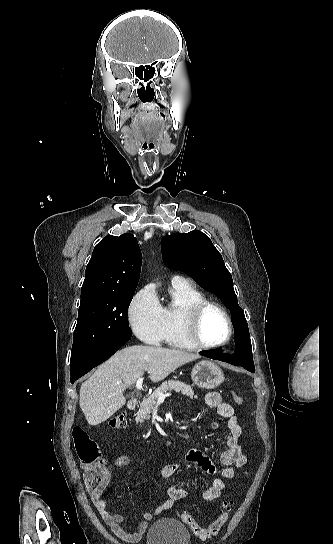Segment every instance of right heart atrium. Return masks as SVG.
<instances>
[{
	"mask_svg": "<svg viewBox=\"0 0 333 544\" xmlns=\"http://www.w3.org/2000/svg\"><path fill=\"white\" fill-rule=\"evenodd\" d=\"M129 324L143 342L159 345L164 341L165 317L155 291L145 286L133 297L128 309Z\"/></svg>",
	"mask_w": 333,
	"mask_h": 544,
	"instance_id": "obj_1",
	"label": "right heart atrium"
}]
</instances>
